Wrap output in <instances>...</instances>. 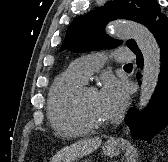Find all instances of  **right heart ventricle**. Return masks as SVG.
Listing matches in <instances>:
<instances>
[{
	"label": "right heart ventricle",
	"instance_id": "1",
	"mask_svg": "<svg viewBox=\"0 0 168 162\" xmlns=\"http://www.w3.org/2000/svg\"><path fill=\"white\" fill-rule=\"evenodd\" d=\"M84 82L70 68L58 75L48 94L47 116L54 132L63 137L81 136L87 132L70 112L69 104L75 91Z\"/></svg>",
	"mask_w": 168,
	"mask_h": 162
}]
</instances>
